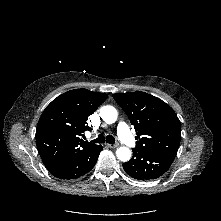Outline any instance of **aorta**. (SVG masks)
I'll return each instance as SVG.
<instances>
[{
  "instance_id": "1",
  "label": "aorta",
  "mask_w": 221,
  "mask_h": 221,
  "mask_svg": "<svg viewBox=\"0 0 221 221\" xmlns=\"http://www.w3.org/2000/svg\"><path fill=\"white\" fill-rule=\"evenodd\" d=\"M100 116L105 123L112 124L116 122L118 113L113 106L106 105L100 109ZM116 155L119 160L126 162L131 158V151L125 146L119 147L116 151Z\"/></svg>"
}]
</instances>
